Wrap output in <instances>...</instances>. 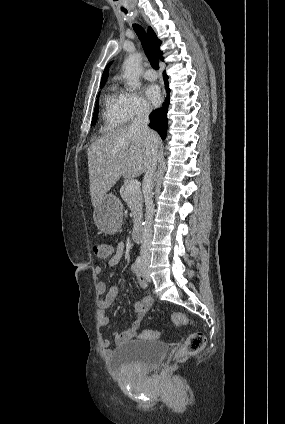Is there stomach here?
Wrapping results in <instances>:
<instances>
[{"label":"stomach","instance_id":"1","mask_svg":"<svg viewBox=\"0 0 285 424\" xmlns=\"http://www.w3.org/2000/svg\"><path fill=\"white\" fill-rule=\"evenodd\" d=\"M122 217L123 205L121 200L113 194H106L94 207V222L98 229L104 233L117 232L122 224Z\"/></svg>","mask_w":285,"mask_h":424}]
</instances>
